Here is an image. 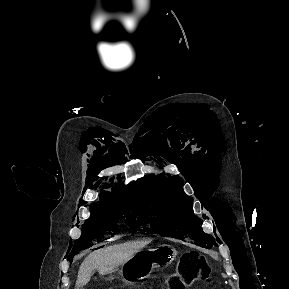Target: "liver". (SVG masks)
<instances>
[{
  "label": "liver",
  "instance_id": "obj_1",
  "mask_svg": "<svg viewBox=\"0 0 289 289\" xmlns=\"http://www.w3.org/2000/svg\"><path fill=\"white\" fill-rule=\"evenodd\" d=\"M149 242L150 240L126 242L90 253L80 265L76 289L83 287L90 281L95 269L100 275L110 274L117 267L124 265Z\"/></svg>",
  "mask_w": 289,
  "mask_h": 289
}]
</instances>
